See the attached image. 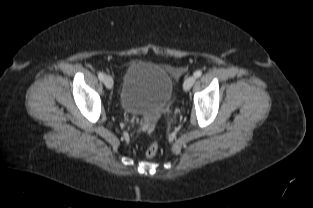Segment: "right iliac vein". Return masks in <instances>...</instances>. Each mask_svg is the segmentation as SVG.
<instances>
[{
    "instance_id": "right-iliac-vein-1",
    "label": "right iliac vein",
    "mask_w": 313,
    "mask_h": 208,
    "mask_svg": "<svg viewBox=\"0 0 313 208\" xmlns=\"http://www.w3.org/2000/svg\"><path fill=\"white\" fill-rule=\"evenodd\" d=\"M104 84L106 86L107 89H111L113 87V79L111 76L106 75L104 77Z\"/></svg>"
}]
</instances>
